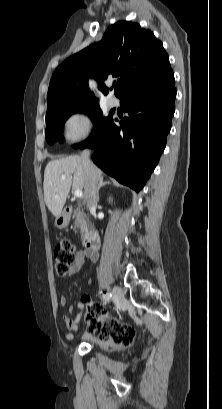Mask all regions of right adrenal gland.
I'll return each instance as SVG.
<instances>
[{
    "instance_id": "right-adrenal-gland-1",
    "label": "right adrenal gland",
    "mask_w": 222,
    "mask_h": 409,
    "mask_svg": "<svg viewBox=\"0 0 222 409\" xmlns=\"http://www.w3.org/2000/svg\"><path fill=\"white\" fill-rule=\"evenodd\" d=\"M110 184V182H104L103 181V177H101L100 179H99V184H98V187H97V201L99 202V191H100V189H101V187H104V186H106V185H109Z\"/></svg>"
}]
</instances>
